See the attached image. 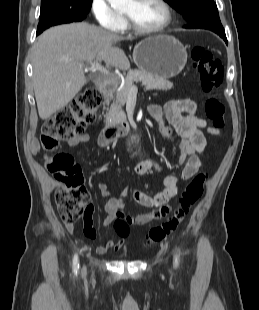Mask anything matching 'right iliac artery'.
<instances>
[{"instance_id":"right-iliac-artery-1","label":"right iliac artery","mask_w":259,"mask_h":310,"mask_svg":"<svg viewBox=\"0 0 259 310\" xmlns=\"http://www.w3.org/2000/svg\"><path fill=\"white\" fill-rule=\"evenodd\" d=\"M78 269H79L78 255L75 254L73 258V272L75 275H77Z\"/></svg>"}]
</instances>
